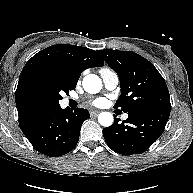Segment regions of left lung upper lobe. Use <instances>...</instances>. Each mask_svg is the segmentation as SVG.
Returning <instances> with one entry per match:
<instances>
[{
    "mask_svg": "<svg viewBox=\"0 0 193 193\" xmlns=\"http://www.w3.org/2000/svg\"><path fill=\"white\" fill-rule=\"evenodd\" d=\"M97 52L120 79L121 95L114 108H121L128 115L170 109L167 85L152 63L131 51Z\"/></svg>",
    "mask_w": 193,
    "mask_h": 193,
    "instance_id": "1",
    "label": "left lung upper lobe"
}]
</instances>
